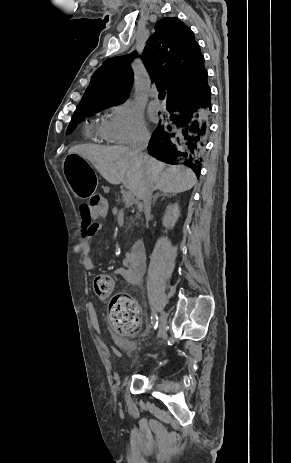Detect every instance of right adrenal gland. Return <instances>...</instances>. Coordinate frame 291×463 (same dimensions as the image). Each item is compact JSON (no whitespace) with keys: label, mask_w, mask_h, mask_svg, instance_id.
<instances>
[{"label":"right adrenal gland","mask_w":291,"mask_h":463,"mask_svg":"<svg viewBox=\"0 0 291 463\" xmlns=\"http://www.w3.org/2000/svg\"><path fill=\"white\" fill-rule=\"evenodd\" d=\"M171 196H172V195H171V194H168V193H159V192H157V193L154 195V197H153L152 206L155 205L156 200H157L158 198H160V197L165 198V197H171Z\"/></svg>","instance_id":"1"}]
</instances>
